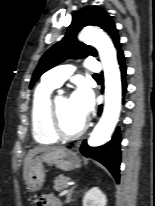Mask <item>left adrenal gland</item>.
Here are the masks:
<instances>
[{"label": "left adrenal gland", "mask_w": 155, "mask_h": 206, "mask_svg": "<svg viewBox=\"0 0 155 206\" xmlns=\"http://www.w3.org/2000/svg\"><path fill=\"white\" fill-rule=\"evenodd\" d=\"M73 194V190L69 191L68 194H67V203H70L72 200H71V196Z\"/></svg>", "instance_id": "left-adrenal-gland-1"}]
</instances>
